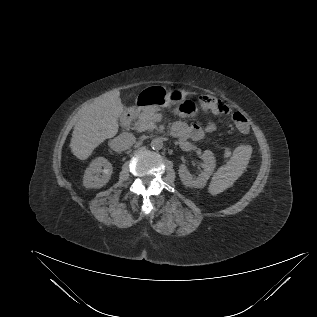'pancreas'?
Masks as SVG:
<instances>
[{
  "mask_svg": "<svg viewBox=\"0 0 317 317\" xmlns=\"http://www.w3.org/2000/svg\"><path fill=\"white\" fill-rule=\"evenodd\" d=\"M156 113V108L150 107L142 110L141 113L138 114L137 120L134 123V129L142 132V131H152L157 128L154 115Z\"/></svg>",
  "mask_w": 317,
  "mask_h": 317,
  "instance_id": "pancreas-1",
  "label": "pancreas"
}]
</instances>
